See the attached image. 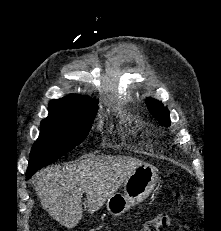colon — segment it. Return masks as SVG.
Masks as SVG:
<instances>
[{
	"label": "colon",
	"mask_w": 221,
	"mask_h": 231,
	"mask_svg": "<svg viewBox=\"0 0 221 231\" xmlns=\"http://www.w3.org/2000/svg\"><path fill=\"white\" fill-rule=\"evenodd\" d=\"M183 197L181 194L177 195V206L175 211H178L179 205ZM173 213H160L153 218L147 220L139 231H161L163 228L170 226L173 222Z\"/></svg>",
	"instance_id": "1"
}]
</instances>
